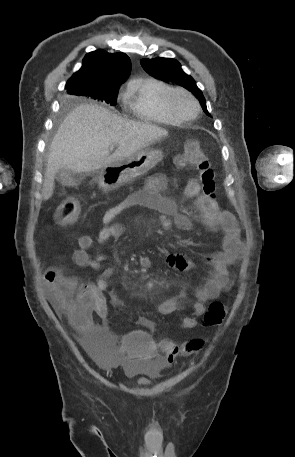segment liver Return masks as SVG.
Returning a JSON list of instances; mask_svg holds the SVG:
<instances>
[{"label": "liver", "mask_w": 295, "mask_h": 457, "mask_svg": "<svg viewBox=\"0 0 295 457\" xmlns=\"http://www.w3.org/2000/svg\"><path fill=\"white\" fill-rule=\"evenodd\" d=\"M167 135L161 127L125 120L95 104L75 107L61 123L50 145L43 200L53 195L55 175L60 169L74 173L95 171L129 157ZM112 144H116L117 149L110 155Z\"/></svg>", "instance_id": "1"}]
</instances>
